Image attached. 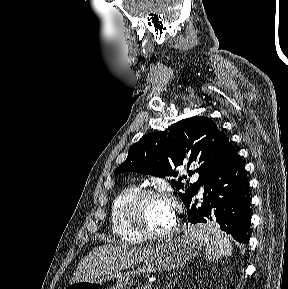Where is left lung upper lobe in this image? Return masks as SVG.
Instances as JSON below:
<instances>
[{
  "label": "left lung upper lobe",
  "instance_id": "1",
  "mask_svg": "<svg viewBox=\"0 0 288 289\" xmlns=\"http://www.w3.org/2000/svg\"><path fill=\"white\" fill-rule=\"evenodd\" d=\"M229 143L228 137L217 125L207 117H192L183 119L165 131L144 135L133 144L128 156L115 174L133 171L157 177H177L174 168L183 164L189 157L188 165H195L199 180L195 184L185 185L172 180L176 190L185 189L180 193L181 200L186 205L194 198L204 179L211 169L220 161ZM187 178V176H183Z\"/></svg>",
  "mask_w": 288,
  "mask_h": 289
}]
</instances>
